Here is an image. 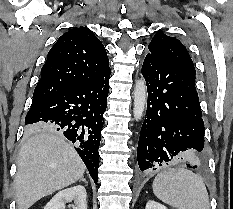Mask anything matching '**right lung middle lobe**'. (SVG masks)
Here are the masks:
<instances>
[{
    "instance_id": "right-lung-middle-lobe-1",
    "label": "right lung middle lobe",
    "mask_w": 233,
    "mask_h": 209,
    "mask_svg": "<svg viewBox=\"0 0 233 209\" xmlns=\"http://www.w3.org/2000/svg\"><path fill=\"white\" fill-rule=\"evenodd\" d=\"M37 127L46 128V129H49V130H54V128L52 126H49V125H39ZM37 127H35V128H37ZM28 129H30V128H28Z\"/></svg>"
}]
</instances>
